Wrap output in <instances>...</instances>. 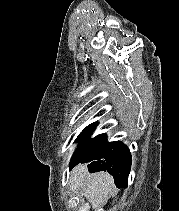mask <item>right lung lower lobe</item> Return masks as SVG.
Wrapping results in <instances>:
<instances>
[{
  "label": "right lung lower lobe",
  "mask_w": 179,
  "mask_h": 211,
  "mask_svg": "<svg viewBox=\"0 0 179 211\" xmlns=\"http://www.w3.org/2000/svg\"><path fill=\"white\" fill-rule=\"evenodd\" d=\"M79 163H88V170L91 173L107 171L113 176L118 188L127 187L131 154L122 142H106L94 153L74 164H70V169Z\"/></svg>",
  "instance_id": "obj_1"
}]
</instances>
